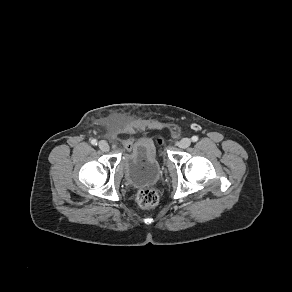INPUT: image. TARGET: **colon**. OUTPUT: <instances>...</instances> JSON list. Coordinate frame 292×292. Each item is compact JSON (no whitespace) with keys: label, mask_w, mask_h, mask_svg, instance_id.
I'll list each match as a JSON object with an SVG mask.
<instances>
[{"label":"colon","mask_w":292,"mask_h":292,"mask_svg":"<svg viewBox=\"0 0 292 292\" xmlns=\"http://www.w3.org/2000/svg\"><path fill=\"white\" fill-rule=\"evenodd\" d=\"M137 201L143 208H152L159 201V194L154 188L142 189L137 194Z\"/></svg>","instance_id":"5ec220e1"}]
</instances>
